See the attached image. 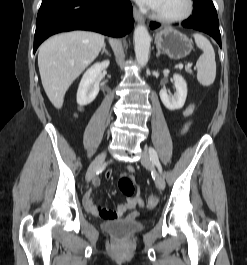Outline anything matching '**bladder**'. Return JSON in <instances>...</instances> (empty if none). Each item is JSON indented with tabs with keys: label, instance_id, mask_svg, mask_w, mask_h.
I'll list each match as a JSON object with an SVG mask.
<instances>
[{
	"label": "bladder",
	"instance_id": "bladder-1",
	"mask_svg": "<svg viewBox=\"0 0 247 265\" xmlns=\"http://www.w3.org/2000/svg\"><path fill=\"white\" fill-rule=\"evenodd\" d=\"M101 227L108 234L118 238L128 237L144 229L141 222L128 219L107 220L102 223Z\"/></svg>",
	"mask_w": 247,
	"mask_h": 265
}]
</instances>
